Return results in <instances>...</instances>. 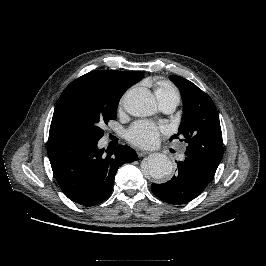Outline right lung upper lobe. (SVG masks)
<instances>
[{
    "mask_svg": "<svg viewBox=\"0 0 266 266\" xmlns=\"http://www.w3.org/2000/svg\"><path fill=\"white\" fill-rule=\"evenodd\" d=\"M139 71L124 72L114 70H97L89 72L71 82L63 93L77 89L103 90L123 95L133 84L142 79Z\"/></svg>",
    "mask_w": 266,
    "mask_h": 266,
    "instance_id": "right-lung-upper-lobe-1",
    "label": "right lung upper lobe"
}]
</instances>
